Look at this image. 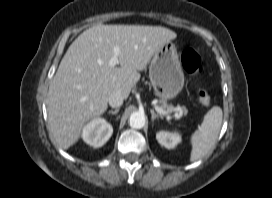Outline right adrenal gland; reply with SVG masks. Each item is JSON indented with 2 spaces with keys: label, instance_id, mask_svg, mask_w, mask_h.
Wrapping results in <instances>:
<instances>
[{
  "label": "right adrenal gland",
  "instance_id": "1",
  "mask_svg": "<svg viewBox=\"0 0 272 198\" xmlns=\"http://www.w3.org/2000/svg\"><path fill=\"white\" fill-rule=\"evenodd\" d=\"M119 112V108H116L115 110H110L108 114L116 115Z\"/></svg>",
  "mask_w": 272,
  "mask_h": 198
}]
</instances>
